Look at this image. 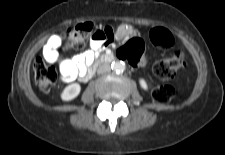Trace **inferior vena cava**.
I'll list each match as a JSON object with an SVG mask.
<instances>
[{"mask_svg": "<svg viewBox=\"0 0 225 155\" xmlns=\"http://www.w3.org/2000/svg\"><path fill=\"white\" fill-rule=\"evenodd\" d=\"M108 71H110V66L108 64H102V65H100L99 68H98V70H97V72L99 74L105 73V72H108Z\"/></svg>", "mask_w": 225, "mask_h": 155, "instance_id": "obj_1", "label": "inferior vena cava"}]
</instances>
